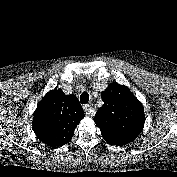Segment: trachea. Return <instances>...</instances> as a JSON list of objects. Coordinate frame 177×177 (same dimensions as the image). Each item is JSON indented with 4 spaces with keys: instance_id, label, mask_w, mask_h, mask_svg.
<instances>
[{
    "instance_id": "obj_1",
    "label": "trachea",
    "mask_w": 177,
    "mask_h": 177,
    "mask_svg": "<svg viewBox=\"0 0 177 177\" xmlns=\"http://www.w3.org/2000/svg\"><path fill=\"white\" fill-rule=\"evenodd\" d=\"M88 101H89V95H88V93L83 92V93L80 95V102H81L82 104H85V103H88Z\"/></svg>"
}]
</instances>
